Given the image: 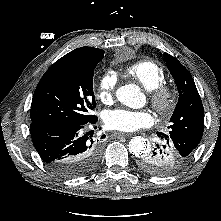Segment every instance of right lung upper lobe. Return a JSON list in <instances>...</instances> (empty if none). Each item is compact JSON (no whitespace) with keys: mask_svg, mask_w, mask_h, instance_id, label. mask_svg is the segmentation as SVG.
<instances>
[{"mask_svg":"<svg viewBox=\"0 0 221 221\" xmlns=\"http://www.w3.org/2000/svg\"><path fill=\"white\" fill-rule=\"evenodd\" d=\"M104 53L105 52L101 49H97L93 47H80L69 52L68 54H66L65 56H63L56 62L72 61V60H76V59L86 57V56H91V55H104Z\"/></svg>","mask_w":221,"mask_h":221,"instance_id":"cb5924a9","label":"right lung upper lobe"}]
</instances>
